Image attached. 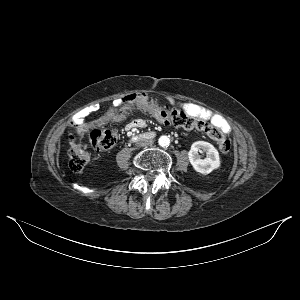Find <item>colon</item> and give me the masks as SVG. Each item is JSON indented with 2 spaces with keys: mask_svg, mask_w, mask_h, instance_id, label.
<instances>
[{
  "mask_svg": "<svg viewBox=\"0 0 300 300\" xmlns=\"http://www.w3.org/2000/svg\"><path fill=\"white\" fill-rule=\"evenodd\" d=\"M121 105L127 109H136L153 115L167 126L182 129L198 130L214 140L220 153L224 156L231 151V144L224 132L215 124L201 115H191L180 109H169L145 93H133L121 100ZM79 135H87L96 150H109L117 141V130L112 125H104L99 129L89 130L85 125L77 128ZM69 167L73 172H81L88 163V153L79 142L76 135L70 136Z\"/></svg>",
  "mask_w": 300,
  "mask_h": 300,
  "instance_id": "1",
  "label": "colon"
}]
</instances>
